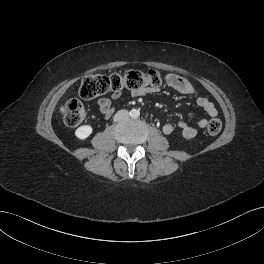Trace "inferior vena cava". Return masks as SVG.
I'll list each match as a JSON object with an SVG mask.
<instances>
[{
	"label": "inferior vena cava",
	"instance_id": "602c4592",
	"mask_svg": "<svg viewBox=\"0 0 264 264\" xmlns=\"http://www.w3.org/2000/svg\"><path fill=\"white\" fill-rule=\"evenodd\" d=\"M128 117H129V112L127 110H119L114 116V121L124 120Z\"/></svg>",
	"mask_w": 264,
	"mask_h": 264
}]
</instances>
